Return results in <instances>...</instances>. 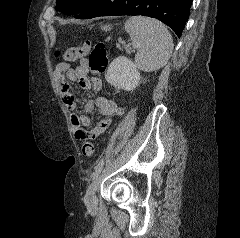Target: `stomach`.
Segmentation results:
<instances>
[{
    "label": "stomach",
    "instance_id": "stomach-1",
    "mask_svg": "<svg viewBox=\"0 0 240 238\" xmlns=\"http://www.w3.org/2000/svg\"><path fill=\"white\" fill-rule=\"evenodd\" d=\"M101 28L104 31H109L111 29V26L110 25H105V26H102Z\"/></svg>",
    "mask_w": 240,
    "mask_h": 238
}]
</instances>
